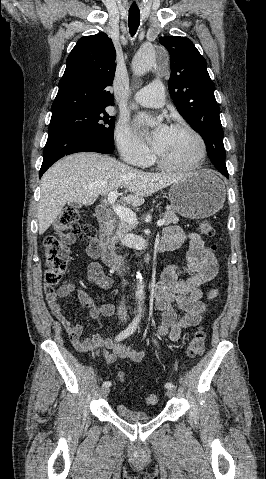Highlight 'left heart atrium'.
Masks as SVG:
<instances>
[{"instance_id":"39dd6f15","label":"left heart atrium","mask_w":266,"mask_h":479,"mask_svg":"<svg viewBox=\"0 0 266 479\" xmlns=\"http://www.w3.org/2000/svg\"><path fill=\"white\" fill-rule=\"evenodd\" d=\"M149 121H150L149 117L140 116L136 119V125H137L138 128H142L143 126L148 124ZM168 131H169V128L165 125H162V126L157 127L151 133V135L149 137V141H150L152 147L154 148V150L156 152L161 148V146H162V144H163V142H164V140L167 136Z\"/></svg>"}]
</instances>
